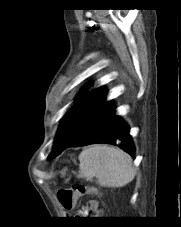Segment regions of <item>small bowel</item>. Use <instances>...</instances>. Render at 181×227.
<instances>
[{
  "label": "small bowel",
  "instance_id": "obj_1",
  "mask_svg": "<svg viewBox=\"0 0 181 227\" xmlns=\"http://www.w3.org/2000/svg\"><path fill=\"white\" fill-rule=\"evenodd\" d=\"M89 212H94L97 216L102 215L97 201L91 200L79 210L80 215H87Z\"/></svg>",
  "mask_w": 181,
  "mask_h": 227
}]
</instances>
